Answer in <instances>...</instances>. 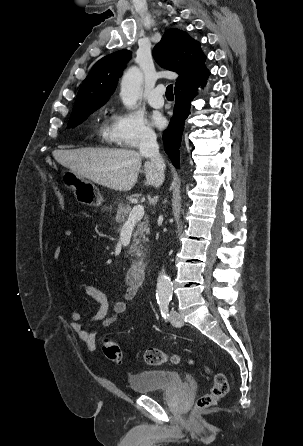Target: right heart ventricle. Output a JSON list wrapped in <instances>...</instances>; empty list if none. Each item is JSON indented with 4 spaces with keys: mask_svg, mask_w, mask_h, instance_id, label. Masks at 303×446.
Segmentation results:
<instances>
[{
    "mask_svg": "<svg viewBox=\"0 0 303 446\" xmlns=\"http://www.w3.org/2000/svg\"><path fill=\"white\" fill-rule=\"evenodd\" d=\"M99 137L105 142H111V127L107 121L102 122L97 130Z\"/></svg>",
    "mask_w": 303,
    "mask_h": 446,
    "instance_id": "e07e8e85",
    "label": "right heart ventricle"
}]
</instances>
